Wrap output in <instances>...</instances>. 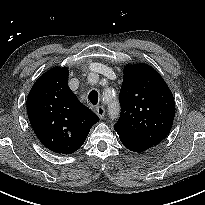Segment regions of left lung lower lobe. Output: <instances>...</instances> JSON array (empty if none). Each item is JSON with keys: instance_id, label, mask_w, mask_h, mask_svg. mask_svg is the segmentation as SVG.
Listing matches in <instances>:
<instances>
[{"instance_id": "0a47b994", "label": "left lung lower lobe", "mask_w": 205, "mask_h": 205, "mask_svg": "<svg viewBox=\"0 0 205 205\" xmlns=\"http://www.w3.org/2000/svg\"><path fill=\"white\" fill-rule=\"evenodd\" d=\"M115 131L118 133L122 144L130 151L140 153L155 146L134 138L121 130L115 129Z\"/></svg>"}]
</instances>
